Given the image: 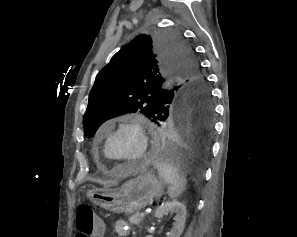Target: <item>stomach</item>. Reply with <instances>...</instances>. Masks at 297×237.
Listing matches in <instances>:
<instances>
[{
	"mask_svg": "<svg viewBox=\"0 0 297 237\" xmlns=\"http://www.w3.org/2000/svg\"><path fill=\"white\" fill-rule=\"evenodd\" d=\"M164 191L163 182L152 171H145L117 189H93L87 197L100 207L114 212H139L159 199Z\"/></svg>",
	"mask_w": 297,
	"mask_h": 237,
	"instance_id": "obj_1",
	"label": "stomach"
}]
</instances>
